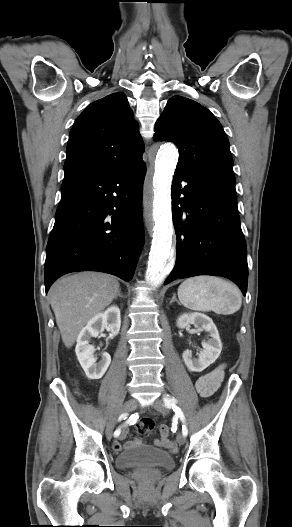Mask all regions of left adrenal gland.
<instances>
[{
    "mask_svg": "<svg viewBox=\"0 0 292 527\" xmlns=\"http://www.w3.org/2000/svg\"><path fill=\"white\" fill-rule=\"evenodd\" d=\"M175 301H176L177 303H179V301H178L177 298H176V294L174 293V294H173V297H172V299H171V301H170V303H173V302H175Z\"/></svg>",
    "mask_w": 292,
    "mask_h": 527,
    "instance_id": "1",
    "label": "left adrenal gland"
}]
</instances>
